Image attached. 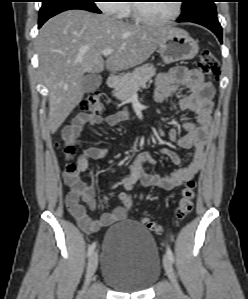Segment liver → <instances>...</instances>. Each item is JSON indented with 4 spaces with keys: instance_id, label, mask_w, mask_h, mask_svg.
Returning <instances> with one entry per match:
<instances>
[{
    "instance_id": "liver-1",
    "label": "liver",
    "mask_w": 248,
    "mask_h": 299,
    "mask_svg": "<svg viewBox=\"0 0 248 299\" xmlns=\"http://www.w3.org/2000/svg\"><path fill=\"white\" fill-rule=\"evenodd\" d=\"M173 28L130 24L84 10L49 19L37 38L40 74L49 91L52 134L82 101L85 73L122 71L146 61ZM104 49H113L106 61Z\"/></svg>"
}]
</instances>
